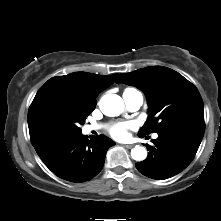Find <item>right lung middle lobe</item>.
I'll list each match as a JSON object with an SVG mask.
<instances>
[{
	"label": "right lung middle lobe",
	"instance_id": "1",
	"mask_svg": "<svg viewBox=\"0 0 221 221\" xmlns=\"http://www.w3.org/2000/svg\"><path fill=\"white\" fill-rule=\"evenodd\" d=\"M93 110L63 95H45L33 101L29 108L30 138L54 134H80V126Z\"/></svg>",
	"mask_w": 221,
	"mask_h": 221
}]
</instances>
